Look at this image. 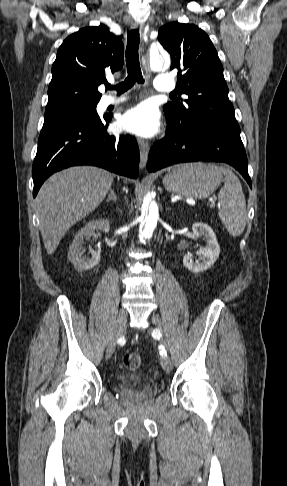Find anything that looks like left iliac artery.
I'll return each instance as SVG.
<instances>
[{
	"mask_svg": "<svg viewBox=\"0 0 287 486\" xmlns=\"http://www.w3.org/2000/svg\"><path fill=\"white\" fill-rule=\"evenodd\" d=\"M159 349H160V354H161L162 356H165V355H166V350H165V348H164L163 346H160V347H159Z\"/></svg>",
	"mask_w": 287,
	"mask_h": 486,
	"instance_id": "left-iliac-artery-1",
	"label": "left iliac artery"
}]
</instances>
